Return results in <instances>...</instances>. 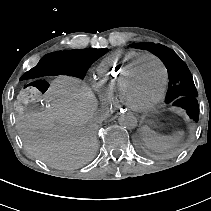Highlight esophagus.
<instances>
[{"mask_svg":"<svg viewBox=\"0 0 211 211\" xmlns=\"http://www.w3.org/2000/svg\"><path fill=\"white\" fill-rule=\"evenodd\" d=\"M130 111H131V108H130V106H128V105L120 106V107H118V109H117V112H118V114H120V115L128 114V113H130Z\"/></svg>","mask_w":211,"mask_h":211,"instance_id":"obj_1","label":"esophagus"}]
</instances>
